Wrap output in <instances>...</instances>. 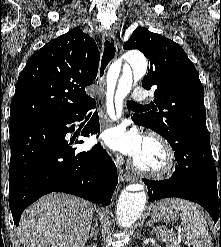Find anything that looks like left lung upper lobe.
<instances>
[{"label": "left lung upper lobe", "instance_id": "left-lung-upper-lobe-1", "mask_svg": "<svg viewBox=\"0 0 221 247\" xmlns=\"http://www.w3.org/2000/svg\"><path fill=\"white\" fill-rule=\"evenodd\" d=\"M125 50L138 49L150 69L144 88L156 86L153 110L137 115L140 124L179 147L193 136L208 133L204 88L193 63L183 48L160 34L138 27L124 43Z\"/></svg>", "mask_w": 221, "mask_h": 247}]
</instances>
